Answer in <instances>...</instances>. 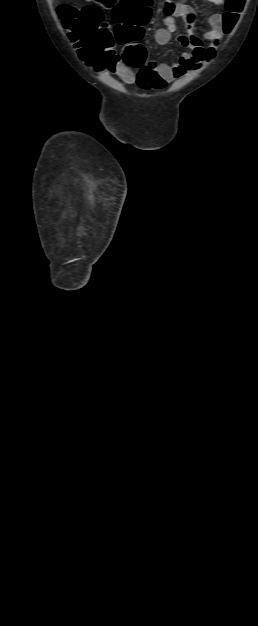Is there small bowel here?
I'll list each match as a JSON object with an SVG mask.
<instances>
[{
  "label": "small bowel",
  "instance_id": "obj_1",
  "mask_svg": "<svg viewBox=\"0 0 258 626\" xmlns=\"http://www.w3.org/2000/svg\"><path fill=\"white\" fill-rule=\"evenodd\" d=\"M216 6L225 5V0H206ZM164 26L155 31V41L159 45L170 42L172 34L177 30L176 19H181L190 32L196 22V11L188 4L165 0L162 3ZM210 30L204 38L188 33L179 36L178 40L189 48L180 59L172 64L148 62L139 71H133L121 57L112 59L107 68L126 84H136L144 90H160L176 79L214 59L223 37V15L212 14L208 19Z\"/></svg>",
  "mask_w": 258,
  "mask_h": 626
}]
</instances>
